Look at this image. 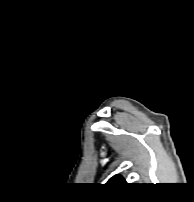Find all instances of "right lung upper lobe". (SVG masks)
<instances>
[{
	"instance_id": "cb5924a9",
	"label": "right lung upper lobe",
	"mask_w": 194,
	"mask_h": 202,
	"mask_svg": "<svg viewBox=\"0 0 194 202\" xmlns=\"http://www.w3.org/2000/svg\"><path fill=\"white\" fill-rule=\"evenodd\" d=\"M109 184H121V183H125L124 179L121 176H114L112 177L109 182Z\"/></svg>"
}]
</instances>
